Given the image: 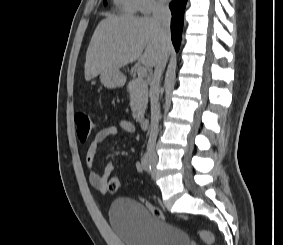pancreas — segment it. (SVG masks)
I'll return each instance as SVG.
<instances>
[{
  "instance_id": "pancreas-1",
  "label": "pancreas",
  "mask_w": 283,
  "mask_h": 245,
  "mask_svg": "<svg viewBox=\"0 0 283 245\" xmlns=\"http://www.w3.org/2000/svg\"><path fill=\"white\" fill-rule=\"evenodd\" d=\"M128 91L130 93V106L133 112V118L140 121L147 108L148 86L144 78H136L129 82Z\"/></svg>"
}]
</instances>
